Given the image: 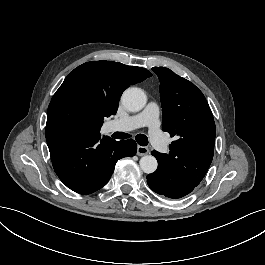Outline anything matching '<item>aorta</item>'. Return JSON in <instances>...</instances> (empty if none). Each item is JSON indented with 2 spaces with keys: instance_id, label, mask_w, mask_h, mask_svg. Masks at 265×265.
<instances>
[{
  "instance_id": "aorta-1",
  "label": "aorta",
  "mask_w": 265,
  "mask_h": 265,
  "mask_svg": "<svg viewBox=\"0 0 265 265\" xmlns=\"http://www.w3.org/2000/svg\"><path fill=\"white\" fill-rule=\"evenodd\" d=\"M122 105L130 112H137L144 108L147 96L141 88L130 87L121 96ZM140 168L144 173L150 174L156 171L158 163L154 156L146 155L140 159Z\"/></svg>"
}]
</instances>
